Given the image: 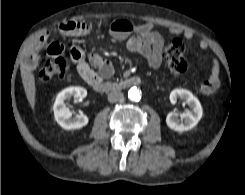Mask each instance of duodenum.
Wrapping results in <instances>:
<instances>
[{
	"label": "duodenum",
	"instance_id": "duodenum-1",
	"mask_svg": "<svg viewBox=\"0 0 245 195\" xmlns=\"http://www.w3.org/2000/svg\"><path fill=\"white\" fill-rule=\"evenodd\" d=\"M140 83L141 79L137 76H134L118 82H96L93 84V87L99 92H110L138 86Z\"/></svg>",
	"mask_w": 245,
	"mask_h": 195
}]
</instances>
